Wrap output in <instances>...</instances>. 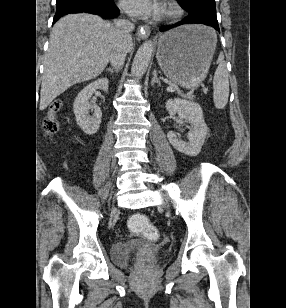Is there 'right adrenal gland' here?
<instances>
[{
	"label": "right adrenal gland",
	"mask_w": 286,
	"mask_h": 308,
	"mask_svg": "<svg viewBox=\"0 0 286 308\" xmlns=\"http://www.w3.org/2000/svg\"><path fill=\"white\" fill-rule=\"evenodd\" d=\"M106 71L110 72V73H114V69L113 68H107Z\"/></svg>",
	"instance_id": "1"
}]
</instances>
